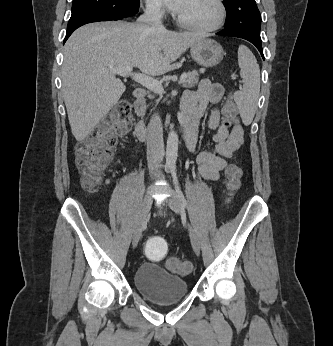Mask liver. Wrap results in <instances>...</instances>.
Listing matches in <instances>:
<instances>
[{"label": "liver", "mask_w": 333, "mask_h": 346, "mask_svg": "<svg viewBox=\"0 0 333 346\" xmlns=\"http://www.w3.org/2000/svg\"><path fill=\"white\" fill-rule=\"evenodd\" d=\"M203 35L152 29L143 23H92L77 29L64 47L62 92L72 134L84 140L126 90L113 69L137 67L163 75Z\"/></svg>", "instance_id": "1"}]
</instances>
